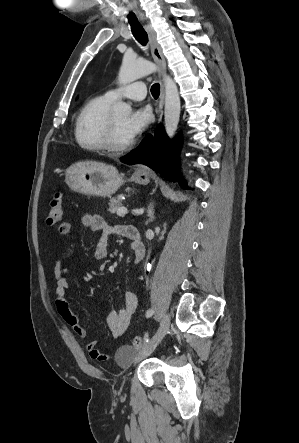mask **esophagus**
<instances>
[{
  "instance_id": "obj_1",
  "label": "esophagus",
  "mask_w": 299,
  "mask_h": 443,
  "mask_svg": "<svg viewBox=\"0 0 299 443\" xmlns=\"http://www.w3.org/2000/svg\"><path fill=\"white\" fill-rule=\"evenodd\" d=\"M138 16H139L140 21L143 23L146 32L148 33L152 56H153L155 62L160 67V69L162 70V72H164L166 70V61H165L164 55L162 53V48L157 41L156 32L153 29L151 23L148 21V19L145 17V15L143 13L139 12ZM163 105H164V85L162 84L159 103H158V107H157L159 121L162 118ZM137 170L139 172H146L147 168L145 166L141 165Z\"/></svg>"
}]
</instances>
